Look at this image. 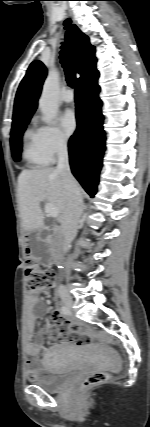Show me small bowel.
I'll use <instances>...</instances> for the list:
<instances>
[{
	"label": "small bowel",
	"mask_w": 150,
	"mask_h": 427,
	"mask_svg": "<svg viewBox=\"0 0 150 427\" xmlns=\"http://www.w3.org/2000/svg\"><path fill=\"white\" fill-rule=\"evenodd\" d=\"M50 302L42 298H29L27 302V342L26 352L32 357L39 356L43 347V333L35 332L36 321L46 312L47 306ZM51 318L55 321L56 327L51 331L52 336L57 337H73V341L77 344H84L87 340L81 337L80 331L77 326L61 316L58 311L51 312ZM28 377L30 379L43 378L44 374L41 373L34 366L33 360H28Z\"/></svg>",
	"instance_id": "obj_1"
}]
</instances>
